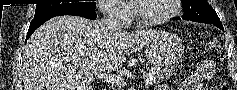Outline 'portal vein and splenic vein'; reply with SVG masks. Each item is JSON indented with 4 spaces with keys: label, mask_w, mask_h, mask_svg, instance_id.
I'll return each instance as SVG.
<instances>
[{
    "label": "portal vein and splenic vein",
    "mask_w": 237,
    "mask_h": 90,
    "mask_svg": "<svg viewBox=\"0 0 237 90\" xmlns=\"http://www.w3.org/2000/svg\"><path fill=\"white\" fill-rule=\"evenodd\" d=\"M107 78H109L108 82H110V84H115V86H121L122 84L121 78H117V76H107Z\"/></svg>",
    "instance_id": "18ae733b"
}]
</instances>
